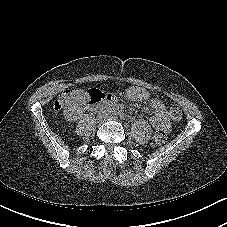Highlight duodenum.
<instances>
[{"mask_svg": "<svg viewBox=\"0 0 227 227\" xmlns=\"http://www.w3.org/2000/svg\"><path fill=\"white\" fill-rule=\"evenodd\" d=\"M90 105L92 107H98L100 105H108L113 107V113L119 115L124 119H130V117L123 112L122 107L118 106L116 100L110 96L106 95L105 92L100 88L93 89L89 94Z\"/></svg>", "mask_w": 227, "mask_h": 227, "instance_id": "duodenum-1", "label": "duodenum"}]
</instances>
